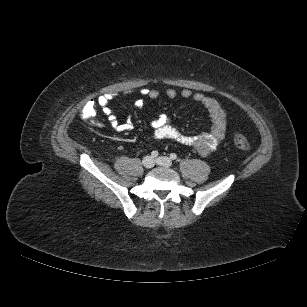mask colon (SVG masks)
Instances as JSON below:
<instances>
[{"instance_id": "obj_1", "label": "colon", "mask_w": 307, "mask_h": 307, "mask_svg": "<svg viewBox=\"0 0 307 307\" xmlns=\"http://www.w3.org/2000/svg\"><path fill=\"white\" fill-rule=\"evenodd\" d=\"M97 114V104L90 100L84 104V106L81 109V116L86 121H93L95 119V116ZM233 140L235 146L242 152H249L251 149V146L246 139L244 135H242L239 132H235L233 134Z\"/></svg>"}]
</instances>
